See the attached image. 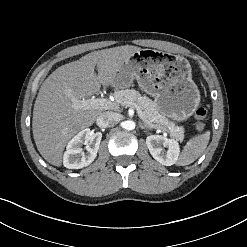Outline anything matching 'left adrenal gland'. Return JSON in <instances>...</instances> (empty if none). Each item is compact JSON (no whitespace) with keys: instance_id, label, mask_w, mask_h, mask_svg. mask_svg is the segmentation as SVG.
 <instances>
[{"instance_id":"a2214340","label":"left adrenal gland","mask_w":247,"mask_h":247,"mask_svg":"<svg viewBox=\"0 0 247 247\" xmlns=\"http://www.w3.org/2000/svg\"><path fill=\"white\" fill-rule=\"evenodd\" d=\"M139 126L141 129H152L150 126L143 124L142 122H139Z\"/></svg>"}]
</instances>
